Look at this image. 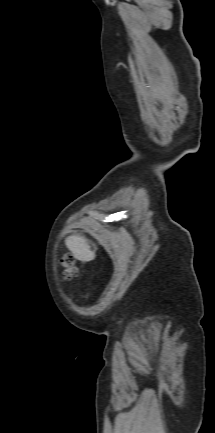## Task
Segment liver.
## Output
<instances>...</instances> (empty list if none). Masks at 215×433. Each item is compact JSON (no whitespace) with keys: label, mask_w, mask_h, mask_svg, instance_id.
Here are the masks:
<instances>
[{"label":"liver","mask_w":215,"mask_h":433,"mask_svg":"<svg viewBox=\"0 0 215 433\" xmlns=\"http://www.w3.org/2000/svg\"><path fill=\"white\" fill-rule=\"evenodd\" d=\"M66 246L72 252L74 258L82 262H89L95 259V252L84 236L72 235L66 238Z\"/></svg>","instance_id":"6515ba94"}]
</instances>
